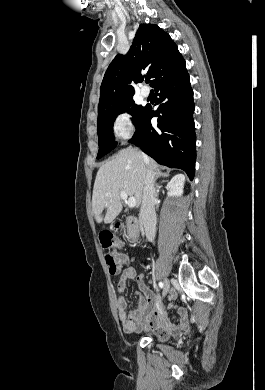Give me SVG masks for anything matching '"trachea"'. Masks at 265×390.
Listing matches in <instances>:
<instances>
[{
  "mask_svg": "<svg viewBox=\"0 0 265 390\" xmlns=\"http://www.w3.org/2000/svg\"><path fill=\"white\" fill-rule=\"evenodd\" d=\"M145 81H146V83H149L150 82V78L149 77L145 78Z\"/></svg>",
  "mask_w": 265,
  "mask_h": 390,
  "instance_id": "1",
  "label": "trachea"
}]
</instances>
